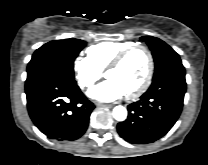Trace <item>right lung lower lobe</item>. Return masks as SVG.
Instances as JSON below:
<instances>
[{"instance_id":"obj_1","label":"right lung lower lobe","mask_w":208,"mask_h":165,"mask_svg":"<svg viewBox=\"0 0 208 165\" xmlns=\"http://www.w3.org/2000/svg\"><path fill=\"white\" fill-rule=\"evenodd\" d=\"M27 108L35 126L48 138H80L95 108L74 79L57 73L42 74L25 84Z\"/></svg>"}]
</instances>
